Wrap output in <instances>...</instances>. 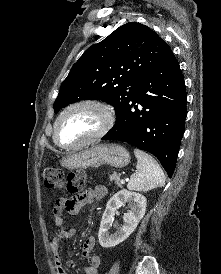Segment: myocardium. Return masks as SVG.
I'll return each instance as SVG.
<instances>
[{
	"mask_svg": "<svg viewBox=\"0 0 221 274\" xmlns=\"http://www.w3.org/2000/svg\"><path fill=\"white\" fill-rule=\"evenodd\" d=\"M81 107L94 108L100 113L102 122L99 129L90 137L86 138L85 140L77 144L68 145V144L61 143L58 139V128L61 120L70 111L76 108H81ZM114 123H115V112L108 103L101 100H97V99L78 100L69 104L67 107H65L56 118L54 123V130H53V140L56 145H58L59 147L63 149H67V150L79 149L101 139L112 129V127L114 126Z\"/></svg>",
	"mask_w": 221,
	"mask_h": 274,
	"instance_id": "myocardium-1",
	"label": "myocardium"
}]
</instances>
